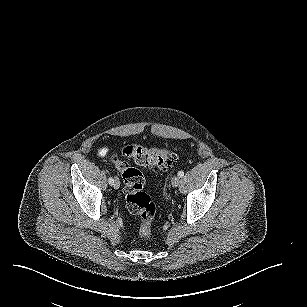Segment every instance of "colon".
Returning <instances> with one entry per match:
<instances>
[{
    "label": "colon",
    "mask_w": 307,
    "mask_h": 307,
    "mask_svg": "<svg viewBox=\"0 0 307 307\" xmlns=\"http://www.w3.org/2000/svg\"><path fill=\"white\" fill-rule=\"evenodd\" d=\"M122 156L132 159L139 166L153 168L168 167L173 158L171 151L166 148H147L137 144L124 146ZM112 161L123 178L127 208L140 218L139 235L145 240H151L156 206L143 191L144 177L118 155H113Z\"/></svg>",
    "instance_id": "5ec220e1"
}]
</instances>
